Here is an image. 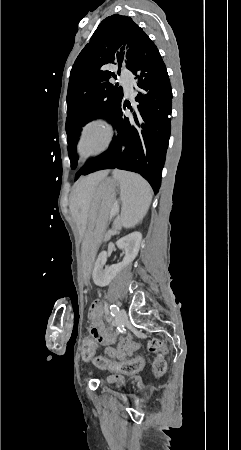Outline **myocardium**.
Masks as SVG:
<instances>
[{
	"mask_svg": "<svg viewBox=\"0 0 241 450\" xmlns=\"http://www.w3.org/2000/svg\"><path fill=\"white\" fill-rule=\"evenodd\" d=\"M79 127H105V122H79ZM80 137L81 148L75 149V162H88L89 158H95L99 156V153L102 152V149H108V144H102L104 142L110 141V131L109 130H82ZM78 135V134H77ZM91 137H96L95 140H91ZM85 157V158H84ZM74 160V159H73Z\"/></svg>",
	"mask_w": 241,
	"mask_h": 450,
	"instance_id": "myocardium-1",
	"label": "myocardium"
}]
</instances>
